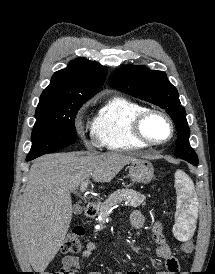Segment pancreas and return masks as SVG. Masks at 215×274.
I'll use <instances>...</instances> for the list:
<instances>
[{
	"instance_id": "pancreas-1",
	"label": "pancreas",
	"mask_w": 215,
	"mask_h": 274,
	"mask_svg": "<svg viewBox=\"0 0 215 274\" xmlns=\"http://www.w3.org/2000/svg\"><path fill=\"white\" fill-rule=\"evenodd\" d=\"M122 194H126V196L121 197ZM126 201L127 206L131 207H139L141 204L145 205V196L139 192H136L133 189H122L112 193L108 199L104 203H102L101 208L99 210L100 223H104L109 215L110 211L117 203H121L122 201Z\"/></svg>"
}]
</instances>
